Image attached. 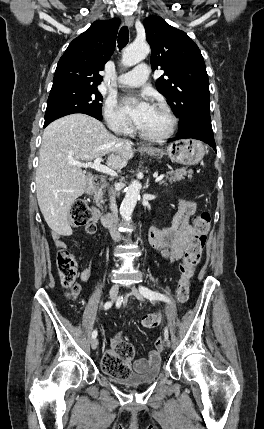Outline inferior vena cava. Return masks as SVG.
Returning a JSON list of instances; mask_svg holds the SVG:
<instances>
[{
  "mask_svg": "<svg viewBox=\"0 0 264 429\" xmlns=\"http://www.w3.org/2000/svg\"><path fill=\"white\" fill-rule=\"evenodd\" d=\"M110 210L113 212V221L110 222L109 233H112L113 236H116L114 239L117 241L119 238L117 237L120 233L118 232L121 227V217L117 212V205L115 200V192L113 190L110 191Z\"/></svg>",
  "mask_w": 264,
  "mask_h": 429,
  "instance_id": "inferior-vena-cava-1",
  "label": "inferior vena cava"
}]
</instances>
